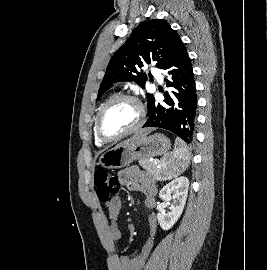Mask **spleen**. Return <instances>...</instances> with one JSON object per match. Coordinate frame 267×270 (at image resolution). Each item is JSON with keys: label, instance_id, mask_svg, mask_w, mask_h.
I'll return each instance as SVG.
<instances>
[{"label": "spleen", "instance_id": "spleen-1", "mask_svg": "<svg viewBox=\"0 0 267 270\" xmlns=\"http://www.w3.org/2000/svg\"><path fill=\"white\" fill-rule=\"evenodd\" d=\"M190 156L186 144L176 138L173 152L164 156L161 160L160 179L166 180L183 173L188 167Z\"/></svg>", "mask_w": 267, "mask_h": 270}]
</instances>
